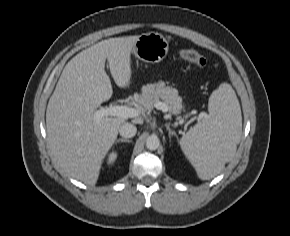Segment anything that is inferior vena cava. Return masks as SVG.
<instances>
[{"mask_svg":"<svg viewBox=\"0 0 290 236\" xmlns=\"http://www.w3.org/2000/svg\"><path fill=\"white\" fill-rule=\"evenodd\" d=\"M137 132L136 126L131 123H123L119 128V133L124 138H131Z\"/></svg>","mask_w":290,"mask_h":236,"instance_id":"602c4592","label":"inferior vena cava"}]
</instances>
